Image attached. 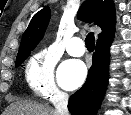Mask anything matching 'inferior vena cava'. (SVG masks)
<instances>
[{
	"mask_svg": "<svg viewBox=\"0 0 131 115\" xmlns=\"http://www.w3.org/2000/svg\"><path fill=\"white\" fill-rule=\"evenodd\" d=\"M53 105L57 115H69L68 112V95L64 92H59L53 97Z\"/></svg>",
	"mask_w": 131,
	"mask_h": 115,
	"instance_id": "602c4592",
	"label": "inferior vena cava"
}]
</instances>
